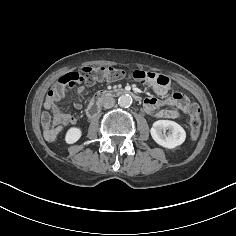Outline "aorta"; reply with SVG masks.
<instances>
[{
  "label": "aorta",
  "instance_id": "aorta-1",
  "mask_svg": "<svg viewBox=\"0 0 236 236\" xmlns=\"http://www.w3.org/2000/svg\"><path fill=\"white\" fill-rule=\"evenodd\" d=\"M118 104L120 107L128 108L132 104V97L128 94L121 95L118 98Z\"/></svg>",
  "mask_w": 236,
  "mask_h": 236
}]
</instances>
